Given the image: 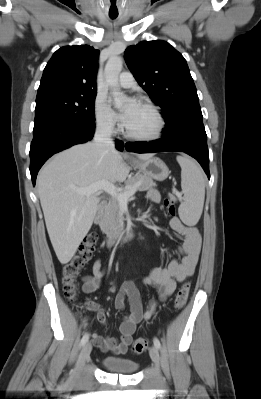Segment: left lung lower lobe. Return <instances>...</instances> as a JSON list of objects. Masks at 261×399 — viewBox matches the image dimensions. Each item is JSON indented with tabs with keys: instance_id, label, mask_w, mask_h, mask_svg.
Returning <instances> with one entry per match:
<instances>
[{
	"instance_id": "left-lung-lower-lobe-1",
	"label": "left lung lower lobe",
	"mask_w": 261,
	"mask_h": 399,
	"mask_svg": "<svg viewBox=\"0 0 261 399\" xmlns=\"http://www.w3.org/2000/svg\"><path fill=\"white\" fill-rule=\"evenodd\" d=\"M125 148L129 152L136 153L184 152L200 163L210 179L207 135L203 121L192 122L180 130L169 135H163L162 138L154 141L126 143Z\"/></svg>"
}]
</instances>
